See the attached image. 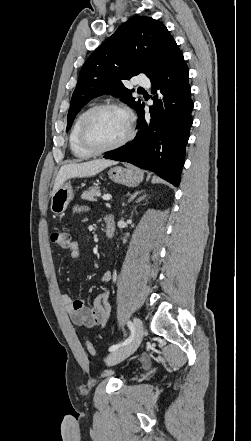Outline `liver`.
I'll list each match as a JSON object with an SVG mask.
<instances>
[{"label":"liver","mask_w":251,"mask_h":441,"mask_svg":"<svg viewBox=\"0 0 251 441\" xmlns=\"http://www.w3.org/2000/svg\"><path fill=\"white\" fill-rule=\"evenodd\" d=\"M117 164L116 161L96 159L82 163H70L63 165L55 179L52 195L71 178H83L95 176L105 168Z\"/></svg>","instance_id":"1"}]
</instances>
